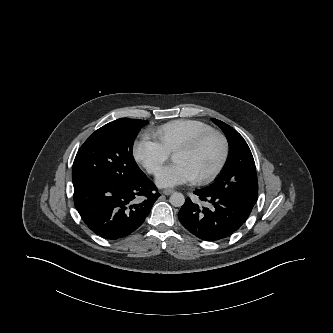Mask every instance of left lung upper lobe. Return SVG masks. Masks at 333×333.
<instances>
[{
	"label": "left lung upper lobe",
	"mask_w": 333,
	"mask_h": 333,
	"mask_svg": "<svg viewBox=\"0 0 333 333\" xmlns=\"http://www.w3.org/2000/svg\"><path fill=\"white\" fill-rule=\"evenodd\" d=\"M225 133L229 156L222 175L210 186L252 209L258 198V180L252 153L243 137L231 126L212 119Z\"/></svg>",
	"instance_id": "left-lung-upper-lobe-1"
}]
</instances>
